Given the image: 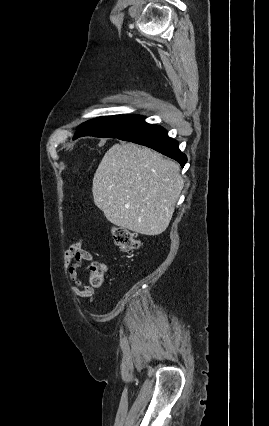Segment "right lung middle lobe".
Returning a JSON list of instances; mask_svg holds the SVG:
<instances>
[{
    "label": "right lung middle lobe",
    "mask_w": 269,
    "mask_h": 426,
    "mask_svg": "<svg viewBox=\"0 0 269 426\" xmlns=\"http://www.w3.org/2000/svg\"><path fill=\"white\" fill-rule=\"evenodd\" d=\"M144 122L140 115H115L95 118L83 123L74 139L82 136L120 138Z\"/></svg>",
    "instance_id": "1"
}]
</instances>
